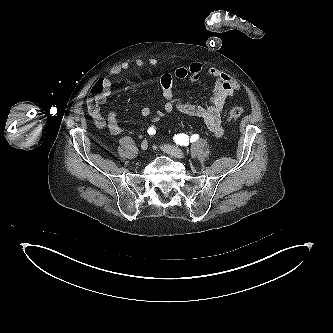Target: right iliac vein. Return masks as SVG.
Listing matches in <instances>:
<instances>
[{
  "mask_svg": "<svg viewBox=\"0 0 333 333\" xmlns=\"http://www.w3.org/2000/svg\"><path fill=\"white\" fill-rule=\"evenodd\" d=\"M148 148V142L147 140H144L142 143H141V149L144 151Z\"/></svg>",
  "mask_w": 333,
  "mask_h": 333,
  "instance_id": "right-iliac-vein-1",
  "label": "right iliac vein"
}]
</instances>
